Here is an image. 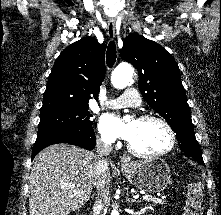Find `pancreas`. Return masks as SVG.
Masks as SVG:
<instances>
[{
  "instance_id": "obj_1",
  "label": "pancreas",
  "mask_w": 221,
  "mask_h": 215,
  "mask_svg": "<svg viewBox=\"0 0 221 215\" xmlns=\"http://www.w3.org/2000/svg\"><path fill=\"white\" fill-rule=\"evenodd\" d=\"M147 201L152 202V203L157 204V205H164L165 204L163 200L157 199V198L152 197V196H150V198L147 199Z\"/></svg>"
}]
</instances>
